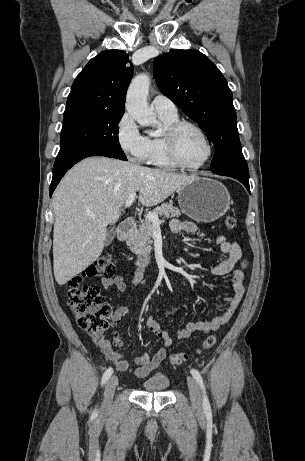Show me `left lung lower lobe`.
I'll return each instance as SVG.
<instances>
[{"label": "left lung lower lobe", "instance_id": "0a47b994", "mask_svg": "<svg viewBox=\"0 0 305 461\" xmlns=\"http://www.w3.org/2000/svg\"><path fill=\"white\" fill-rule=\"evenodd\" d=\"M222 175L230 176V177H233V178L239 180L240 182H242L244 184V186L246 187V189L250 193L249 176H242V175L232 174V173H227V174H222Z\"/></svg>", "mask_w": 305, "mask_h": 461}]
</instances>
